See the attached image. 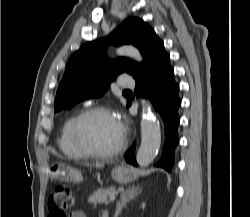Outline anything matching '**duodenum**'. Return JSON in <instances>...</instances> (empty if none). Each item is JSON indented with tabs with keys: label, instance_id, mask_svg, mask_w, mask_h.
Here are the masks:
<instances>
[{
	"label": "duodenum",
	"instance_id": "obj_1",
	"mask_svg": "<svg viewBox=\"0 0 250 217\" xmlns=\"http://www.w3.org/2000/svg\"><path fill=\"white\" fill-rule=\"evenodd\" d=\"M108 216H109V214H108L107 211H102V212L100 213V217H108Z\"/></svg>",
	"mask_w": 250,
	"mask_h": 217
}]
</instances>
